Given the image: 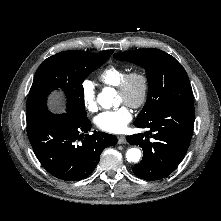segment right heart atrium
<instances>
[{"mask_svg":"<svg viewBox=\"0 0 221 221\" xmlns=\"http://www.w3.org/2000/svg\"><path fill=\"white\" fill-rule=\"evenodd\" d=\"M81 95L84 107L90 112L96 111L97 110L96 89L92 81L85 80L82 83Z\"/></svg>","mask_w":221,"mask_h":221,"instance_id":"1","label":"right heart atrium"}]
</instances>
